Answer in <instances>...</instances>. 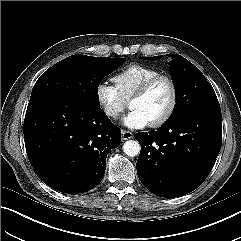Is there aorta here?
<instances>
[{"label": "aorta", "instance_id": "1", "mask_svg": "<svg viewBox=\"0 0 241 241\" xmlns=\"http://www.w3.org/2000/svg\"><path fill=\"white\" fill-rule=\"evenodd\" d=\"M141 146L136 140H128L123 145V151L130 157H135L140 153Z\"/></svg>", "mask_w": 241, "mask_h": 241}]
</instances>
